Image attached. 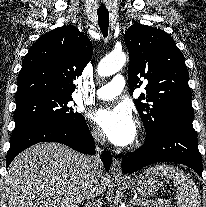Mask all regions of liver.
Returning <instances> with one entry per match:
<instances>
[{
	"label": "liver",
	"mask_w": 206,
	"mask_h": 207,
	"mask_svg": "<svg viewBox=\"0 0 206 207\" xmlns=\"http://www.w3.org/2000/svg\"><path fill=\"white\" fill-rule=\"evenodd\" d=\"M88 160L59 143L28 148L12 161L5 177L9 207H78L88 189ZM107 184L103 173L98 196Z\"/></svg>",
	"instance_id": "obj_1"
}]
</instances>
